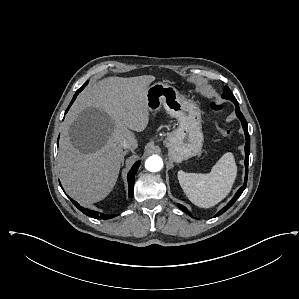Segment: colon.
<instances>
[{"mask_svg":"<svg viewBox=\"0 0 299 299\" xmlns=\"http://www.w3.org/2000/svg\"><path fill=\"white\" fill-rule=\"evenodd\" d=\"M211 108L213 111L215 112H219L222 110V105L218 102H212L211 103ZM219 132H220V135L224 138V139H230L232 137V132L231 130L227 129V128H224V127H221L219 129Z\"/></svg>","mask_w":299,"mask_h":299,"instance_id":"1","label":"colon"}]
</instances>
